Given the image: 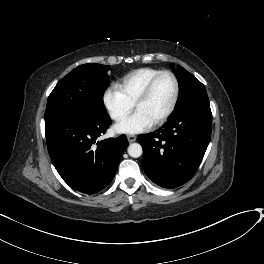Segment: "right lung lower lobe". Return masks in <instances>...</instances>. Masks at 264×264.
Returning <instances> with one entry per match:
<instances>
[{
  "mask_svg": "<svg viewBox=\"0 0 264 264\" xmlns=\"http://www.w3.org/2000/svg\"><path fill=\"white\" fill-rule=\"evenodd\" d=\"M109 125L108 114L70 116L45 122L50 158L62 179L75 190L97 193L114 178L120 156L129 144L125 135L97 142Z\"/></svg>",
  "mask_w": 264,
  "mask_h": 264,
  "instance_id": "1",
  "label": "right lung lower lobe"
}]
</instances>
